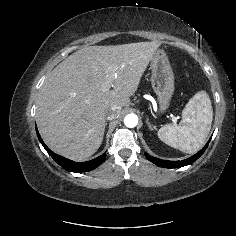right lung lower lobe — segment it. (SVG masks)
Listing matches in <instances>:
<instances>
[{
  "label": "right lung lower lobe",
  "instance_id": "obj_1",
  "mask_svg": "<svg viewBox=\"0 0 236 236\" xmlns=\"http://www.w3.org/2000/svg\"><path fill=\"white\" fill-rule=\"evenodd\" d=\"M36 132H37V136L39 141L41 142V144L43 145V147L46 149V151L49 153V155L64 169H66L69 172H87V171H91L93 169H95L96 167H98L100 164H102L105 160V156L106 154H102L99 157L90 160V161H86V162H74L71 161L67 158H64L60 155L55 154L54 152H52L43 142L42 138L39 135V132L37 130L36 127Z\"/></svg>",
  "mask_w": 236,
  "mask_h": 236
}]
</instances>
